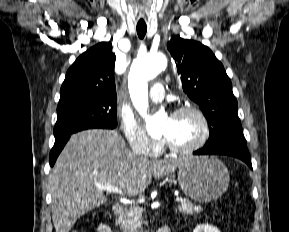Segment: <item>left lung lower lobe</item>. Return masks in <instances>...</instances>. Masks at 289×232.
Instances as JSON below:
<instances>
[{"mask_svg":"<svg viewBox=\"0 0 289 232\" xmlns=\"http://www.w3.org/2000/svg\"><path fill=\"white\" fill-rule=\"evenodd\" d=\"M195 155H228L236 157L244 162L252 169L251 158L245 143L227 144L212 148H202L194 152Z\"/></svg>","mask_w":289,"mask_h":232,"instance_id":"obj_1","label":"left lung lower lobe"}]
</instances>
